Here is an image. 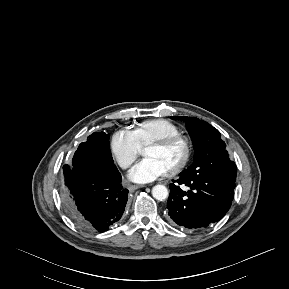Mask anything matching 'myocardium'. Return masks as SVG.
I'll list each match as a JSON object with an SVG mask.
<instances>
[{"label":"myocardium","instance_id":"obj_1","mask_svg":"<svg viewBox=\"0 0 289 289\" xmlns=\"http://www.w3.org/2000/svg\"><path fill=\"white\" fill-rule=\"evenodd\" d=\"M175 144L181 145L183 152L181 159L167 171L170 175L181 172L188 165L192 155V144L190 140L181 134H177L155 140L148 145V147L167 148Z\"/></svg>","mask_w":289,"mask_h":289}]
</instances>
